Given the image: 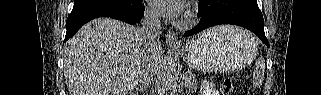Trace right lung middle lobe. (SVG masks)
I'll return each mask as SVG.
<instances>
[{"label": "right lung middle lobe", "mask_w": 321, "mask_h": 95, "mask_svg": "<svg viewBox=\"0 0 321 95\" xmlns=\"http://www.w3.org/2000/svg\"><path fill=\"white\" fill-rule=\"evenodd\" d=\"M139 2L140 0H74L72 11L105 7H114L126 10L136 6Z\"/></svg>", "instance_id": "right-lung-middle-lobe-1"}]
</instances>
